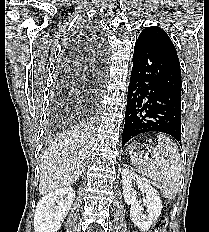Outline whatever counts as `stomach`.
Masks as SVG:
<instances>
[{
  "mask_svg": "<svg viewBox=\"0 0 209 232\" xmlns=\"http://www.w3.org/2000/svg\"><path fill=\"white\" fill-rule=\"evenodd\" d=\"M132 146V145H131ZM132 148L136 149V146H132Z\"/></svg>",
  "mask_w": 209,
  "mask_h": 232,
  "instance_id": "stomach-1",
  "label": "stomach"
}]
</instances>
